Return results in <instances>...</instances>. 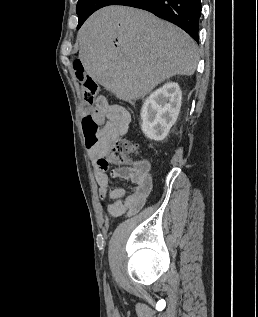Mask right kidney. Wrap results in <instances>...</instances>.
I'll return each mask as SVG.
<instances>
[{
  "instance_id": "1",
  "label": "right kidney",
  "mask_w": 258,
  "mask_h": 317,
  "mask_svg": "<svg viewBox=\"0 0 258 317\" xmlns=\"http://www.w3.org/2000/svg\"><path fill=\"white\" fill-rule=\"evenodd\" d=\"M182 92L178 82H165L147 96L141 110V128L152 140H163L180 112Z\"/></svg>"
}]
</instances>
